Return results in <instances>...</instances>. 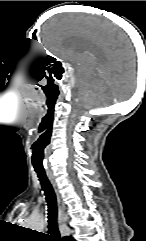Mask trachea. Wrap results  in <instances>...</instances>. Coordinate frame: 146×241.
<instances>
[{"mask_svg":"<svg viewBox=\"0 0 146 241\" xmlns=\"http://www.w3.org/2000/svg\"><path fill=\"white\" fill-rule=\"evenodd\" d=\"M35 172L37 173L46 197V202L48 206V232L50 233V239L51 241H63V239L60 237L58 229V210L55 191L46 175L45 170L35 168Z\"/></svg>","mask_w":146,"mask_h":241,"instance_id":"1","label":"trachea"}]
</instances>
